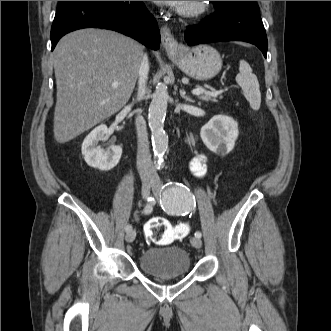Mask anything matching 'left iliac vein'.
Wrapping results in <instances>:
<instances>
[{
  "label": "left iliac vein",
  "instance_id": "1",
  "mask_svg": "<svg viewBox=\"0 0 331 331\" xmlns=\"http://www.w3.org/2000/svg\"><path fill=\"white\" fill-rule=\"evenodd\" d=\"M152 190L155 192H159L161 190V182L159 179H155L152 185ZM190 243L195 248H201L202 247V241L199 237H191Z\"/></svg>",
  "mask_w": 331,
  "mask_h": 331
}]
</instances>
